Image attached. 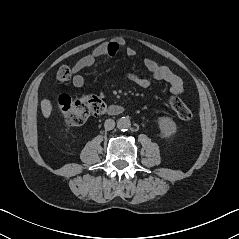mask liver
Listing matches in <instances>:
<instances>
[{
	"instance_id": "liver-1",
	"label": "liver",
	"mask_w": 239,
	"mask_h": 239,
	"mask_svg": "<svg viewBox=\"0 0 239 239\" xmlns=\"http://www.w3.org/2000/svg\"><path fill=\"white\" fill-rule=\"evenodd\" d=\"M41 110H42V114L45 118H48L51 115L52 104H51L50 100L43 99L41 101Z\"/></svg>"
}]
</instances>
